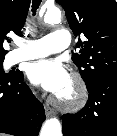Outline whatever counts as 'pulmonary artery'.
<instances>
[{"label":"pulmonary artery","instance_id":"1","mask_svg":"<svg viewBox=\"0 0 117 136\" xmlns=\"http://www.w3.org/2000/svg\"><path fill=\"white\" fill-rule=\"evenodd\" d=\"M70 44V32L66 29H56L40 39L21 41L18 44L19 48L11 53V62L15 64L23 60L57 53L68 48Z\"/></svg>","mask_w":117,"mask_h":136}]
</instances>
